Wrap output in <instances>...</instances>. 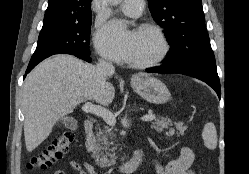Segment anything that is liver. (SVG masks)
I'll list each match as a JSON object with an SVG mask.
<instances>
[{
  "mask_svg": "<svg viewBox=\"0 0 249 174\" xmlns=\"http://www.w3.org/2000/svg\"><path fill=\"white\" fill-rule=\"evenodd\" d=\"M115 97L112 84L97 67L71 55H56L38 64L23 86L24 137L32 152L50 135L56 122L87 100L104 106Z\"/></svg>",
  "mask_w": 249,
  "mask_h": 174,
  "instance_id": "liver-1",
  "label": "liver"
}]
</instances>
